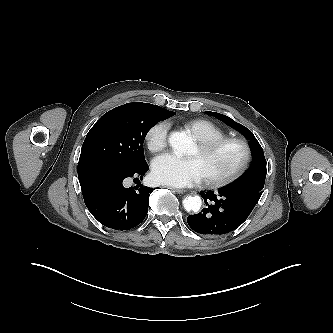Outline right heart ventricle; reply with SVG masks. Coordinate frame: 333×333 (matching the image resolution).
<instances>
[{
    "mask_svg": "<svg viewBox=\"0 0 333 333\" xmlns=\"http://www.w3.org/2000/svg\"><path fill=\"white\" fill-rule=\"evenodd\" d=\"M185 127L199 142L226 136L225 131L221 127L207 119L198 118L189 120L185 123Z\"/></svg>",
    "mask_w": 333,
    "mask_h": 333,
    "instance_id": "obj_1",
    "label": "right heart ventricle"
}]
</instances>
